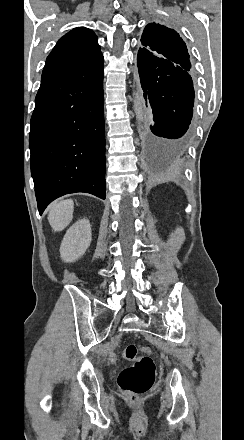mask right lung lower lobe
<instances>
[{
    "label": "right lung lower lobe",
    "instance_id": "right-lung-lower-lobe-1",
    "mask_svg": "<svg viewBox=\"0 0 244 440\" xmlns=\"http://www.w3.org/2000/svg\"><path fill=\"white\" fill-rule=\"evenodd\" d=\"M103 63L42 78L31 117L30 165L40 214L54 199H105Z\"/></svg>",
    "mask_w": 244,
    "mask_h": 440
}]
</instances>
